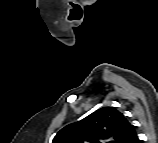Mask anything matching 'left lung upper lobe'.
I'll list each match as a JSON object with an SVG mask.
<instances>
[{"label":"left lung upper lobe","mask_w":158,"mask_h":143,"mask_svg":"<svg viewBox=\"0 0 158 143\" xmlns=\"http://www.w3.org/2000/svg\"><path fill=\"white\" fill-rule=\"evenodd\" d=\"M138 143L134 127L114 107H103L61 129L53 143Z\"/></svg>","instance_id":"1"}]
</instances>
